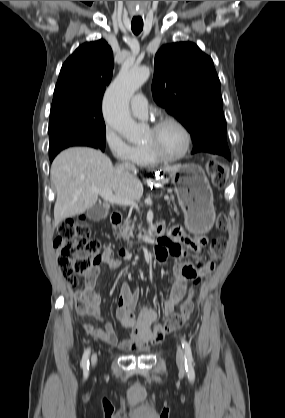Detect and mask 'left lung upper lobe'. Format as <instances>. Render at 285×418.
<instances>
[{"instance_id": "1", "label": "left lung upper lobe", "mask_w": 285, "mask_h": 418, "mask_svg": "<svg viewBox=\"0 0 285 418\" xmlns=\"http://www.w3.org/2000/svg\"><path fill=\"white\" fill-rule=\"evenodd\" d=\"M155 102L190 132L193 149L230 157L221 86L211 57L191 42L162 46L155 55Z\"/></svg>"}]
</instances>
